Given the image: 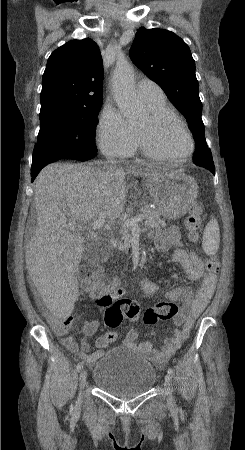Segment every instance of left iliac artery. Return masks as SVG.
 Segmentation results:
<instances>
[{
	"mask_svg": "<svg viewBox=\"0 0 245 450\" xmlns=\"http://www.w3.org/2000/svg\"><path fill=\"white\" fill-rule=\"evenodd\" d=\"M168 374L173 377L174 376V371L171 367L168 368Z\"/></svg>",
	"mask_w": 245,
	"mask_h": 450,
	"instance_id": "left-iliac-artery-1",
	"label": "left iliac artery"
}]
</instances>
